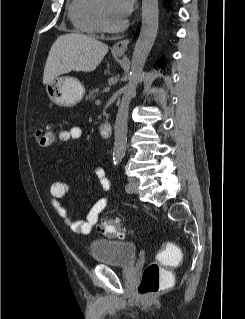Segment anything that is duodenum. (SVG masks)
<instances>
[{
	"instance_id": "duodenum-1",
	"label": "duodenum",
	"mask_w": 245,
	"mask_h": 319,
	"mask_svg": "<svg viewBox=\"0 0 245 319\" xmlns=\"http://www.w3.org/2000/svg\"><path fill=\"white\" fill-rule=\"evenodd\" d=\"M99 131L103 138H110L112 135V126L108 122H103L99 126Z\"/></svg>"
}]
</instances>
